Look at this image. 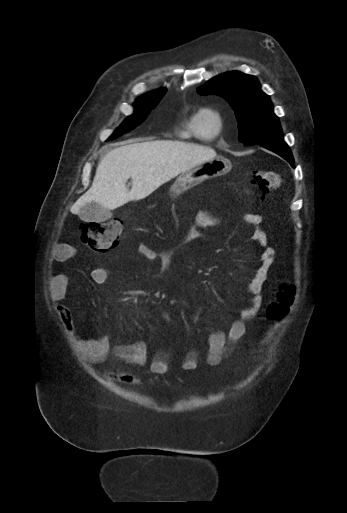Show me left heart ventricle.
I'll return each instance as SVG.
<instances>
[{
	"label": "left heart ventricle",
	"mask_w": 347,
	"mask_h": 513,
	"mask_svg": "<svg viewBox=\"0 0 347 513\" xmlns=\"http://www.w3.org/2000/svg\"><path fill=\"white\" fill-rule=\"evenodd\" d=\"M202 127L204 132H210L215 127L214 121L210 118H204L202 121Z\"/></svg>",
	"instance_id": "b2bd125f"
}]
</instances>
